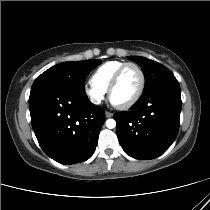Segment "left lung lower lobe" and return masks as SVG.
Masks as SVG:
<instances>
[{
    "mask_svg": "<svg viewBox=\"0 0 210 210\" xmlns=\"http://www.w3.org/2000/svg\"><path fill=\"white\" fill-rule=\"evenodd\" d=\"M181 106L179 83L170 78L144 90L129 111L116 113L117 136L125 153L141 160L163 154L177 136Z\"/></svg>",
    "mask_w": 210,
    "mask_h": 210,
    "instance_id": "1",
    "label": "left lung lower lobe"
}]
</instances>
